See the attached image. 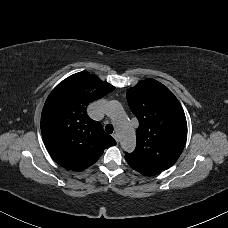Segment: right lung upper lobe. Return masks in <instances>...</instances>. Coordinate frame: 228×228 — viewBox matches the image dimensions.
<instances>
[{
    "label": "right lung upper lobe",
    "instance_id": "1",
    "mask_svg": "<svg viewBox=\"0 0 228 228\" xmlns=\"http://www.w3.org/2000/svg\"><path fill=\"white\" fill-rule=\"evenodd\" d=\"M115 89L89 72L73 74L48 96L41 116V133L51 157L62 167L83 170L95 163L104 149L116 145L87 105Z\"/></svg>",
    "mask_w": 228,
    "mask_h": 228
}]
</instances>
